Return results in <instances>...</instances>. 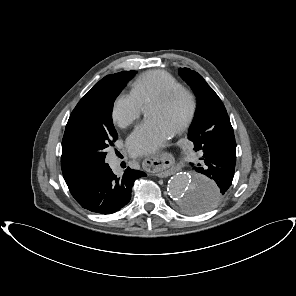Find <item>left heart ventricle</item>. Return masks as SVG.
I'll return each instance as SVG.
<instances>
[{
  "label": "left heart ventricle",
  "instance_id": "1",
  "mask_svg": "<svg viewBox=\"0 0 296 296\" xmlns=\"http://www.w3.org/2000/svg\"><path fill=\"white\" fill-rule=\"evenodd\" d=\"M187 109V100L180 97L166 104L151 103L146 111L148 117L158 118L174 130L185 117Z\"/></svg>",
  "mask_w": 296,
  "mask_h": 296
}]
</instances>
